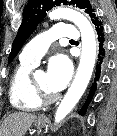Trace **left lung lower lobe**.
Listing matches in <instances>:
<instances>
[{"mask_svg":"<svg viewBox=\"0 0 117 136\" xmlns=\"http://www.w3.org/2000/svg\"><path fill=\"white\" fill-rule=\"evenodd\" d=\"M94 28L96 31L97 37V60H96V67H95V77L92 83L91 89L89 91L88 97L84 105L80 110L81 115H85L86 109L89 106L90 101L92 100L95 91L99 85V79L101 78L102 74L107 68L108 65V51H107V43L106 37L104 32V27L102 22L98 19L94 23Z\"/></svg>","mask_w":117,"mask_h":136,"instance_id":"0a47b994","label":"left lung lower lobe"}]
</instances>
